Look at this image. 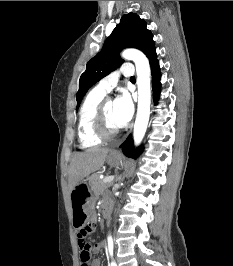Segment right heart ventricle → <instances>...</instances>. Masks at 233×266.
<instances>
[{
	"label": "right heart ventricle",
	"mask_w": 233,
	"mask_h": 266,
	"mask_svg": "<svg viewBox=\"0 0 233 266\" xmlns=\"http://www.w3.org/2000/svg\"><path fill=\"white\" fill-rule=\"evenodd\" d=\"M106 94L94 88L84 98L78 116V138L83 148L98 146L102 140L96 136L93 130V119L96 107Z\"/></svg>",
	"instance_id": "e07e8e85"
}]
</instances>
